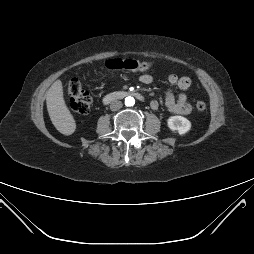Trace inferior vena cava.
<instances>
[{
    "label": "inferior vena cava",
    "mask_w": 254,
    "mask_h": 254,
    "mask_svg": "<svg viewBox=\"0 0 254 254\" xmlns=\"http://www.w3.org/2000/svg\"><path fill=\"white\" fill-rule=\"evenodd\" d=\"M120 108H122V102L121 101H113L111 104H110V109L112 111H117L119 110Z\"/></svg>",
    "instance_id": "602c4592"
}]
</instances>
